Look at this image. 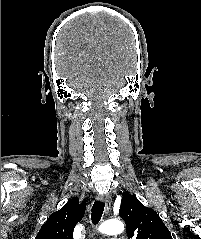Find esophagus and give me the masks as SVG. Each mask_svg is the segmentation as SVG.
<instances>
[{
	"instance_id": "obj_1",
	"label": "esophagus",
	"mask_w": 201,
	"mask_h": 239,
	"mask_svg": "<svg viewBox=\"0 0 201 239\" xmlns=\"http://www.w3.org/2000/svg\"><path fill=\"white\" fill-rule=\"evenodd\" d=\"M98 200L101 202H104L105 204V212L107 213L110 208H111V204H112V198L110 195L108 194H102V195H98Z\"/></svg>"
}]
</instances>
